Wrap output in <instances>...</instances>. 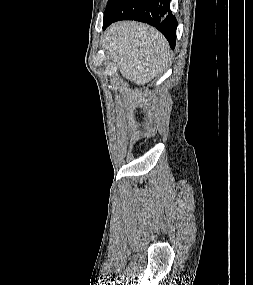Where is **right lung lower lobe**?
<instances>
[{
    "mask_svg": "<svg viewBox=\"0 0 253 285\" xmlns=\"http://www.w3.org/2000/svg\"><path fill=\"white\" fill-rule=\"evenodd\" d=\"M170 0H114L105 11L103 29L118 20H137L156 27L175 48L177 20L169 11Z\"/></svg>",
    "mask_w": 253,
    "mask_h": 285,
    "instance_id": "1",
    "label": "right lung lower lobe"
}]
</instances>
